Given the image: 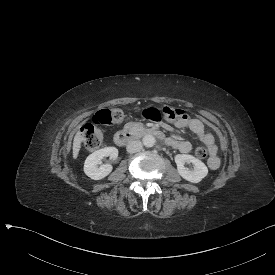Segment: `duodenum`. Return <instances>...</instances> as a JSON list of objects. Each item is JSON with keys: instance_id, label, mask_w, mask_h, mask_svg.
Instances as JSON below:
<instances>
[{"instance_id": "1", "label": "duodenum", "mask_w": 275, "mask_h": 275, "mask_svg": "<svg viewBox=\"0 0 275 275\" xmlns=\"http://www.w3.org/2000/svg\"><path fill=\"white\" fill-rule=\"evenodd\" d=\"M144 135H151L159 139H164V134L160 130L151 127H142L138 129H126L117 132L114 135V142L118 146H125L133 140Z\"/></svg>"}]
</instances>
